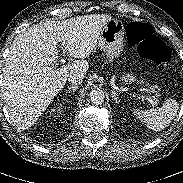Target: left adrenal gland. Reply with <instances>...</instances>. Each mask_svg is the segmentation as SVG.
Returning a JSON list of instances; mask_svg holds the SVG:
<instances>
[{
	"instance_id": "left-adrenal-gland-1",
	"label": "left adrenal gland",
	"mask_w": 183,
	"mask_h": 183,
	"mask_svg": "<svg viewBox=\"0 0 183 183\" xmlns=\"http://www.w3.org/2000/svg\"><path fill=\"white\" fill-rule=\"evenodd\" d=\"M111 95H112V99H114L116 103H118L119 102L118 94L114 90H112Z\"/></svg>"
}]
</instances>
